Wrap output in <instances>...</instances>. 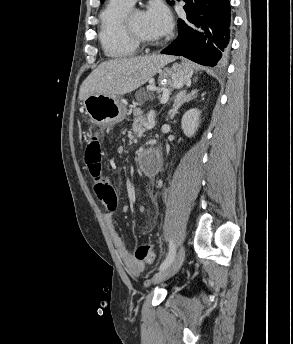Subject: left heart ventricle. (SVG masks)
Returning <instances> with one entry per match:
<instances>
[{
  "mask_svg": "<svg viewBox=\"0 0 293 344\" xmlns=\"http://www.w3.org/2000/svg\"><path fill=\"white\" fill-rule=\"evenodd\" d=\"M130 26L132 30L137 33L138 35L150 40L156 41L158 37L151 34L145 25L144 13L142 12H135L132 14L130 18Z\"/></svg>",
  "mask_w": 293,
  "mask_h": 344,
  "instance_id": "1",
  "label": "left heart ventricle"
}]
</instances>
